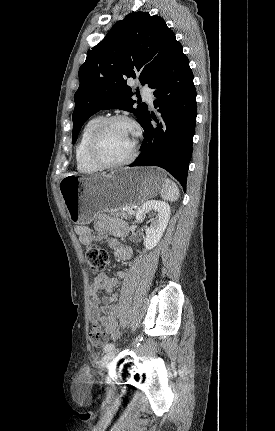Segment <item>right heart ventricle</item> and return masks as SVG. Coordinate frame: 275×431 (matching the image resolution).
Here are the masks:
<instances>
[{
	"mask_svg": "<svg viewBox=\"0 0 275 431\" xmlns=\"http://www.w3.org/2000/svg\"><path fill=\"white\" fill-rule=\"evenodd\" d=\"M102 120H103L102 116H95L90 118L84 124L80 132V136L75 150L76 165H77V169L80 172L93 173L100 169L89 160L87 155V144L91 133Z\"/></svg>",
	"mask_w": 275,
	"mask_h": 431,
	"instance_id": "1",
	"label": "right heart ventricle"
}]
</instances>
